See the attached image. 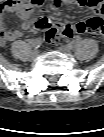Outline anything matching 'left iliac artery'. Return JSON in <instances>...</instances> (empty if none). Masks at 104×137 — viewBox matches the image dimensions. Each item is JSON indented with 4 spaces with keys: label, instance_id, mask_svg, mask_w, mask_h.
Wrapping results in <instances>:
<instances>
[{
    "label": "left iliac artery",
    "instance_id": "1",
    "mask_svg": "<svg viewBox=\"0 0 104 137\" xmlns=\"http://www.w3.org/2000/svg\"><path fill=\"white\" fill-rule=\"evenodd\" d=\"M71 45H72L73 47L77 46V45H78V40H73V41L71 42Z\"/></svg>",
    "mask_w": 104,
    "mask_h": 137
}]
</instances>
